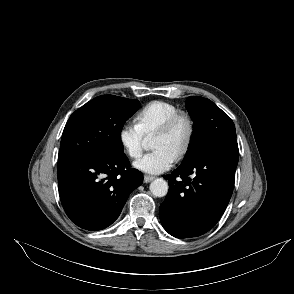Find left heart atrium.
Segmentation results:
<instances>
[{
  "instance_id": "1",
  "label": "left heart atrium",
  "mask_w": 294,
  "mask_h": 294,
  "mask_svg": "<svg viewBox=\"0 0 294 294\" xmlns=\"http://www.w3.org/2000/svg\"><path fill=\"white\" fill-rule=\"evenodd\" d=\"M176 161V155L164 148H158L134 162V167L149 174H160L169 170Z\"/></svg>"
}]
</instances>
